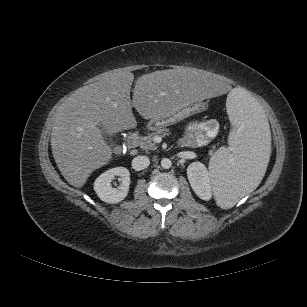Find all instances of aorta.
Here are the masks:
<instances>
[{"instance_id":"762f6f07","label":"aorta","mask_w":307,"mask_h":307,"mask_svg":"<svg viewBox=\"0 0 307 307\" xmlns=\"http://www.w3.org/2000/svg\"><path fill=\"white\" fill-rule=\"evenodd\" d=\"M171 166H172V162H171L170 159H168V158H163V159L161 160V167H162V168H164V169H169V168H171Z\"/></svg>"}]
</instances>
